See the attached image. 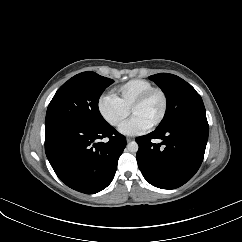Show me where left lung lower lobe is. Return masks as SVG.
Here are the masks:
<instances>
[{"label": "left lung lower lobe", "mask_w": 242, "mask_h": 242, "mask_svg": "<svg viewBox=\"0 0 242 242\" xmlns=\"http://www.w3.org/2000/svg\"><path fill=\"white\" fill-rule=\"evenodd\" d=\"M208 133L206 116H192L138 137L136 158L144 178L162 189H175L185 184L203 161ZM152 139L162 142L154 144Z\"/></svg>", "instance_id": "obj_1"}]
</instances>
